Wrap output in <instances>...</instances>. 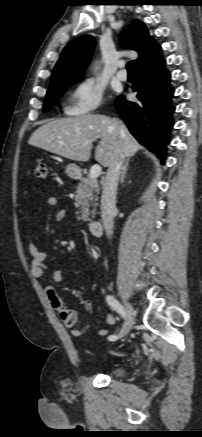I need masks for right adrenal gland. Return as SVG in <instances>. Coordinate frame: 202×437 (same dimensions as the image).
Wrapping results in <instances>:
<instances>
[{
  "label": "right adrenal gland",
  "mask_w": 202,
  "mask_h": 437,
  "mask_svg": "<svg viewBox=\"0 0 202 437\" xmlns=\"http://www.w3.org/2000/svg\"><path fill=\"white\" fill-rule=\"evenodd\" d=\"M129 160H130V159L128 158V159L126 160L124 166H123V170H122V174H121V180H120V183H121V184H122V183L124 182V180H125V176H126L127 166H128Z\"/></svg>",
  "instance_id": "right-adrenal-gland-1"
}]
</instances>
